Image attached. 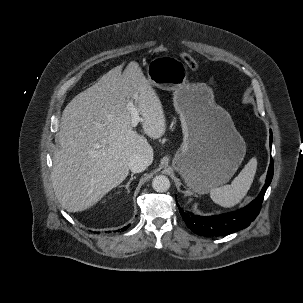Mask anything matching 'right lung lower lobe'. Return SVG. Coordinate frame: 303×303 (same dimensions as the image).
<instances>
[{"mask_svg":"<svg viewBox=\"0 0 303 303\" xmlns=\"http://www.w3.org/2000/svg\"><path fill=\"white\" fill-rule=\"evenodd\" d=\"M128 226H130V225H128ZM128 226H125V227L122 228L121 230H122V231L126 230V229L128 228Z\"/></svg>","mask_w":303,"mask_h":303,"instance_id":"obj_1","label":"right lung lower lobe"}]
</instances>
